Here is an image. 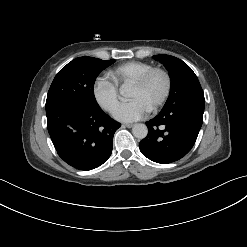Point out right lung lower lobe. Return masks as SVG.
Wrapping results in <instances>:
<instances>
[{"label": "right lung lower lobe", "instance_id": "obj_1", "mask_svg": "<svg viewBox=\"0 0 247 247\" xmlns=\"http://www.w3.org/2000/svg\"><path fill=\"white\" fill-rule=\"evenodd\" d=\"M47 128L62 160L78 170L102 165L112 153L113 136L121 126L101 108L63 104L46 111Z\"/></svg>", "mask_w": 247, "mask_h": 247}]
</instances>
